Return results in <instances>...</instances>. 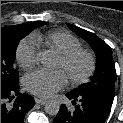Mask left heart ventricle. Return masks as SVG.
<instances>
[{
	"mask_svg": "<svg viewBox=\"0 0 123 123\" xmlns=\"http://www.w3.org/2000/svg\"><path fill=\"white\" fill-rule=\"evenodd\" d=\"M87 63L84 58H77L69 65H64L63 62L58 58L56 62V68H59L65 72L67 76L73 74L78 75L84 72L86 69Z\"/></svg>",
	"mask_w": 123,
	"mask_h": 123,
	"instance_id": "obj_1",
	"label": "left heart ventricle"
}]
</instances>
